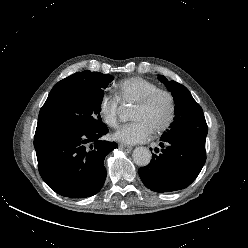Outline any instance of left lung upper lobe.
Segmentation results:
<instances>
[{
  "label": "left lung upper lobe",
  "instance_id": "left-lung-upper-lobe-1",
  "mask_svg": "<svg viewBox=\"0 0 248 248\" xmlns=\"http://www.w3.org/2000/svg\"><path fill=\"white\" fill-rule=\"evenodd\" d=\"M158 79L172 93L175 101L174 121L162 137L187 134L196 138H206L208 127L203 110L194 100L189 90L178 82L168 81L165 76L160 75Z\"/></svg>",
  "mask_w": 248,
  "mask_h": 248
}]
</instances>
